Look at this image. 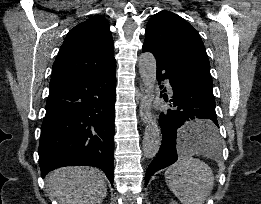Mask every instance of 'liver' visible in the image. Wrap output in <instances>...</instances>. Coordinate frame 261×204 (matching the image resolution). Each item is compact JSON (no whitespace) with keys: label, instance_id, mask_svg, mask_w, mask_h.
Masks as SVG:
<instances>
[{"label":"liver","instance_id":"1","mask_svg":"<svg viewBox=\"0 0 261 204\" xmlns=\"http://www.w3.org/2000/svg\"><path fill=\"white\" fill-rule=\"evenodd\" d=\"M51 198L60 204H101L107 193L104 173L89 167H64L46 178Z\"/></svg>","mask_w":261,"mask_h":204}]
</instances>
